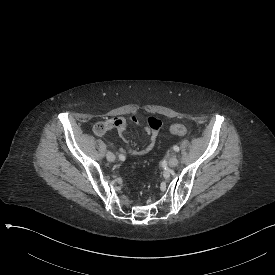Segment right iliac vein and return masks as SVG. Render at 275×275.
<instances>
[{
	"instance_id": "63e3f726",
	"label": "right iliac vein",
	"mask_w": 275,
	"mask_h": 275,
	"mask_svg": "<svg viewBox=\"0 0 275 275\" xmlns=\"http://www.w3.org/2000/svg\"><path fill=\"white\" fill-rule=\"evenodd\" d=\"M106 156H107V160L109 162H114L115 161V155L112 152L108 151Z\"/></svg>"
}]
</instances>
